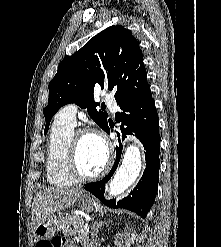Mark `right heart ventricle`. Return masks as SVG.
Returning <instances> with one entry per match:
<instances>
[{
  "label": "right heart ventricle",
  "mask_w": 221,
  "mask_h": 247,
  "mask_svg": "<svg viewBox=\"0 0 221 247\" xmlns=\"http://www.w3.org/2000/svg\"><path fill=\"white\" fill-rule=\"evenodd\" d=\"M74 127L55 119L46 150L45 169L49 183L56 187L75 185V179L69 169L67 155Z\"/></svg>",
  "instance_id": "right-heart-ventricle-1"
}]
</instances>
